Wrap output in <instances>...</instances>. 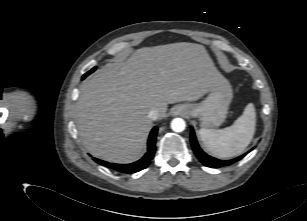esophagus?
<instances>
[{"label":"esophagus","instance_id":"34e87169","mask_svg":"<svg viewBox=\"0 0 307 221\" xmlns=\"http://www.w3.org/2000/svg\"><path fill=\"white\" fill-rule=\"evenodd\" d=\"M173 114L174 115H186V109L184 107H176L173 110Z\"/></svg>","mask_w":307,"mask_h":221}]
</instances>
